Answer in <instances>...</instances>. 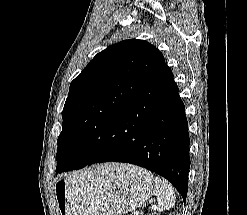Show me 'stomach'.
I'll return each mask as SVG.
<instances>
[{
    "label": "stomach",
    "mask_w": 247,
    "mask_h": 215,
    "mask_svg": "<svg viewBox=\"0 0 247 215\" xmlns=\"http://www.w3.org/2000/svg\"><path fill=\"white\" fill-rule=\"evenodd\" d=\"M89 168L53 185L59 215H121L135 210L152 195L153 175L131 165Z\"/></svg>",
    "instance_id": "1"
}]
</instances>
